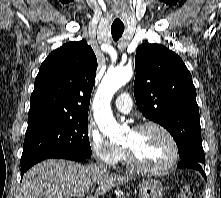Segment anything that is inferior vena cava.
<instances>
[{
	"label": "inferior vena cava",
	"mask_w": 221,
	"mask_h": 198,
	"mask_svg": "<svg viewBox=\"0 0 221 198\" xmlns=\"http://www.w3.org/2000/svg\"><path fill=\"white\" fill-rule=\"evenodd\" d=\"M92 167H95L97 169H103L106 170V167L98 160L95 164L91 165Z\"/></svg>",
	"instance_id": "602c4592"
}]
</instances>
